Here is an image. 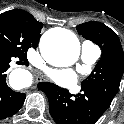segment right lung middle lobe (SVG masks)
Here are the masks:
<instances>
[{
	"label": "right lung middle lobe",
	"instance_id": "obj_1",
	"mask_svg": "<svg viewBox=\"0 0 124 124\" xmlns=\"http://www.w3.org/2000/svg\"><path fill=\"white\" fill-rule=\"evenodd\" d=\"M36 48L37 42L14 18L0 14V53L26 59L29 48Z\"/></svg>",
	"mask_w": 124,
	"mask_h": 124
}]
</instances>
